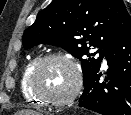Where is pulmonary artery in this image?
Returning <instances> with one entry per match:
<instances>
[{"label": "pulmonary artery", "instance_id": "obj_1", "mask_svg": "<svg viewBox=\"0 0 131 115\" xmlns=\"http://www.w3.org/2000/svg\"><path fill=\"white\" fill-rule=\"evenodd\" d=\"M103 64L106 65V59H105V58H104V60H103Z\"/></svg>", "mask_w": 131, "mask_h": 115}]
</instances>
